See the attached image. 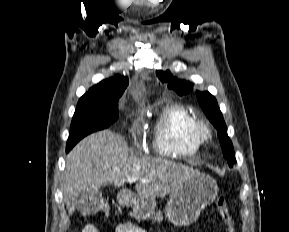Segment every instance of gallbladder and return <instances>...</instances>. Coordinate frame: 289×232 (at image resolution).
<instances>
[{
  "label": "gallbladder",
  "mask_w": 289,
  "mask_h": 232,
  "mask_svg": "<svg viewBox=\"0 0 289 232\" xmlns=\"http://www.w3.org/2000/svg\"><path fill=\"white\" fill-rule=\"evenodd\" d=\"M103 206L102 193L99 190L89 189L79 196L78 211L84 215H92Z\"/></svg>",
  "instance_id": "obj_1"
}]
</instances>
